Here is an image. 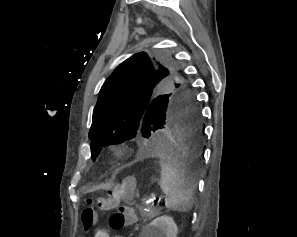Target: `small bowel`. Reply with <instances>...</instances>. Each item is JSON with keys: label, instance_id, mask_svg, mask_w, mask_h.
Wrapping results in <instances>:
<instances>
[{"label": "small bowel", "instance_id": "small-bowel-1", "mask_svg": "<svg viewBox=\"0 0 297 237\" xmlns=\"http://www.w3.org/2000/svg\"><path fill=\"white\" fill-rule=\"evenodd\" d=\"M95 237H111V236L107 231H104L96 234ZM115 237H123V236H115Z\"/></svg>", "mask_w": 297, "mask_h": 237}]
</instances>
